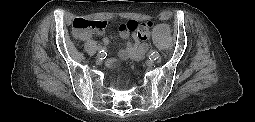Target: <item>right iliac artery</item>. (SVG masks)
Returning <instances> with one entry per match:
<instances>
[{"mask_svg":"<svg viewBox=\"0 0 255 122\" xmlns=\"http://www.w3.org/2000/svg\"><path fill=\"white\" fill-rule=\"evenodd\" d=\"M98 51H99V53H101V54H105V50H104V47L103 46H99L98 47Z\"/></svg>","mask_w":255,"mask_h":122,"instance_id":"82829eb1","label":"right iliac artery"}]
</instances>
